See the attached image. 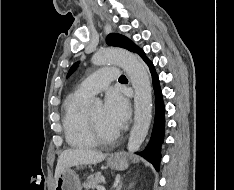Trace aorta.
I'll return each mask as SVG.
<instances>
[{
  "label": "aorta",
  "mask_w": 234,
  "mask_h": 190,
  "mask_svg": "<svg viewBox=\"0 0 234 190\" xmlns=\"http://www.w3.org/2000/svg\"><path fill=\"white\" fill-rule=\"evenodd\" d=\"M96 65L118 64L127 73L134 88V124L127 148L137 151L144 142L152 118V89L148 72L142 61L131 52L119 48H104L93 57Z\"/></svg>",
  "instance_id": "aorta-1"
}]
</instances>
